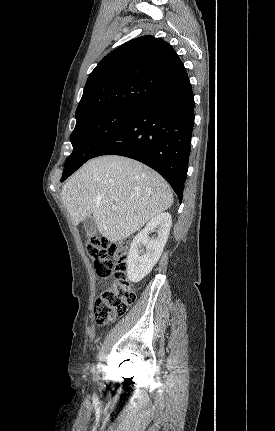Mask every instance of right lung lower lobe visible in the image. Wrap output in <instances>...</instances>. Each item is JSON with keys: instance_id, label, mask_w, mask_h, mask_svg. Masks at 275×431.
Listing matches in <instances>:
<instances>
[{"instance_id": "98d812e1", "label": "right lung lower lobe", "mask_w": 275, "mask_h": 431, "mask_svg": "<svg viewBox=\"0 0 275 431\" xmlns=\"http://www.w3.org/2000/svg\"><path fill=\"white\" fill-rule=\"evenodd\" d=\"M193 125L194 96L186 76L143 103L132 119L92 158L121 155L138 160L160 173L181 201Z\"/></svg>"}]
</instances>
